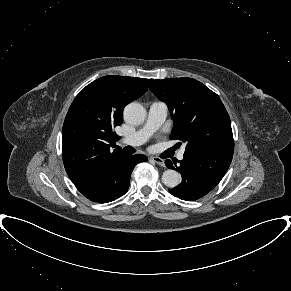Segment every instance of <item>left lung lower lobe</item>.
Returning a JSON list of instances; mask_svg holds the SVG:
<instances>
[{
  "label": "left lung lower lobe",
  "instance_id": "left-lung-lower-lobe-1",
  "mask_svg": "<svg viewBox=\"0 0 291 291\" xmlns=\"http://www.w3.org/2000/svg\"><path fill=\"white\" fill-rule=\"evenodd\" d=\"M233 151H186L179 166L166 160L169 169L180 172L182 182L169 192L182 200H197L209 193L223 178Z\"/></svg>",
  "mask_w": 291,
  "mask_h": 291
}]
</instances>
